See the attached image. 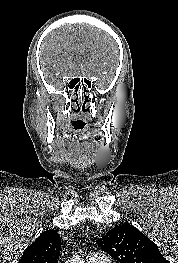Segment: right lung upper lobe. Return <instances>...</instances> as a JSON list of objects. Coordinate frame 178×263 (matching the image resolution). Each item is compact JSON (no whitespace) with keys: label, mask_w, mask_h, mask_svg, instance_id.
<instances>
[{"label":"right lung upper lobe","mask_w":178,"mask_h":263,"mask_svg":"<svg viewBox=\"0 0 178 263\" xmlns=\"http://www.w3.org/2000/svg\"><path fill=\"white\" fill-rule=\"evenodd\" d=\"M61 239L56 230H47L28 246L18 263H57Z\"/></svg>","instance_id":"right-lung-upper-lobe-1"}]
</instances>
